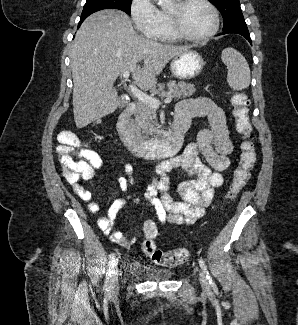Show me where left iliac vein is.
<instances>
[{"label":"left iliac vein","mask_w":298,"mask_h":325,"mask_svg":"<svg viewBox=\"0 0 298 325\" xmlns=\"http://www.w3.org/2000/svg\"><path fill=\"white\" fill-rule=\"evenodd\" d=\"M199 281H200L201 287L204 291L210 290V285L208 283L206 275L204 274L203 271H200V270H199Z\"/></svg>","instance_id":"obj_1"}]
</instances>
